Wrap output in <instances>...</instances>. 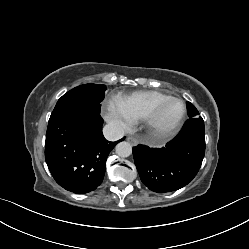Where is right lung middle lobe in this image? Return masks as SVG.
<instances>
[{"instance_id":"dd1d6c3e","label":"right lung middle lobe","mask_w":249,"mask_h":249,"mask_svg":"<svg viewBox=\"0 0 249 249\" xmlns=\"http://www.w3.org/2000/svg\"><path fill=\"white\" fill-rule=\"evenodd\" d=\"M106 86L101 84H84L64 94L57 102L49 122L64 113L79 108H95L100 110V102L104 99Z\"/></svg>"}]
</instances>
